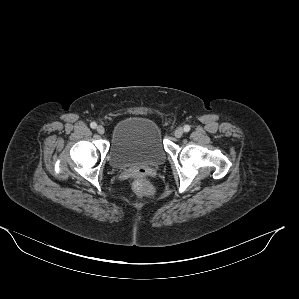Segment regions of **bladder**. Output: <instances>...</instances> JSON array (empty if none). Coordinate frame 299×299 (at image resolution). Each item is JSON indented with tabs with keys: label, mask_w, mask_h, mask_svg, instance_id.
<instances>
[{
	"label": "bladder",
	"mask_w": 299,
	"mask_h": 299,
	"mask_svg": "<svg viewBox=\"0 0 299 299\" xmlns=\"http://www.w3.org/2000/svg\"><path fill=\"white\" fill-rule=\"evenodd\" d=\"M165 158L161 130L152 119L130 116L113 127L108 150V162L113 168L154 167L161 165Z\"/></svg>",
	"instance_id": "bladder-1"
}]
</instances>
